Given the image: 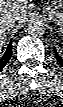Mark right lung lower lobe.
I'll use <instances>...</instances> for the list:
<instances>
[{"label":"right lung lower lobe","mask_w":63,"mask_h":107,"mask_svg":"<svg viewBox=\"0 0 63 107\" xmlns=\"http://www.w3.org/2000/svg\"><path fill=\"white\" fill-rule=\"evenodd\" d=\"M12 55V41H10L6 52L4 55L0 58V71L4 68V66L7 64L9 61L10 57Z\"/></svg>","instance_id":"98d812e1"}]
</instances>
